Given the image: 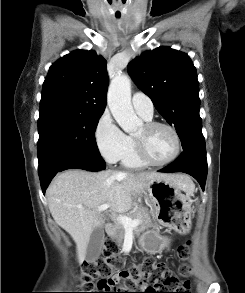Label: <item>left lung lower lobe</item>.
I'll return each instance as SVG.
<instances>
[{
	"instance_id": "0a47b994",
	"label": "left lung lower lobe",
	"mask_w": 245,
	"mask_h": 293,
	"mask_svg": "<svg viewBox=\"0 0 245 293\" xmlns=\"http://www.w3.org/2000/svg\"><path fill=\"white\" fill-rule=\"evenodd\" d=\"M159 172L187 173L193 176L204 190L207 177L206 153L192 150L183 151L173 163L159 170Z\"/></svg>"
}]
</instances>
